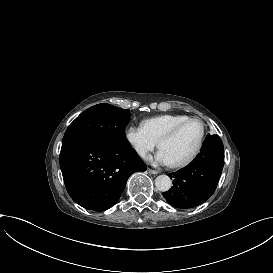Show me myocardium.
I'll return each instance as SVG.
<instances>
[{
    "label": "myocardium",
    "mask_w": 273,
    "mask_h": 273,
    "mask_svg": "<svg viewBox=\"0 0 273 273\" xmlns=\"http://www.w3.org/2000/svg\"><path fill=\"white\" fill-rule=\"evenodd\" d=\"M194 121L199 122L202 127L200 139H199L194 151L192 152V154L187 159H185L183 161H180L177 163H171L172 167H175V168L186 167L195 161V159L198 157V155L200 154V152L202 150V147H203V144L205 141V137H206L207 126L202 119H200L198 117H190L187 120L182 121V122L178 123L177 125H175L174 127H172L159 140V146L162 147V145L165 141L175 137L180 130H182L186 125H188L189 123L194 122Z\"/></svg>",
    "instance_id": "1"
}]
</instances>
